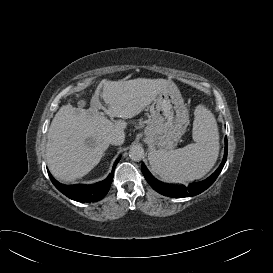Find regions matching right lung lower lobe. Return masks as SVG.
Segmentation results:
<instances>
[{"label": "right lung lower lobe", "mask_w": 273, "mask_h": 273, "mask_svg": "<svg viewBox=\"0 0 273 273\" xmlns=\"http://www.w3.org/2000/svg\"><path fill=\"white\" fill-rule=\"evenodd\" d=\"M120 158L121 157L117 158L113 165L112 172L105 180L92 185H63L55 180L49 171L48 174L53 185L68 198L78 202H96L101 200L109 191L113 179L114 169Z\"/></svg>", "instance_id": "1"}]
</instances>
